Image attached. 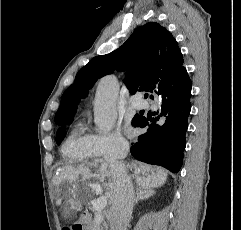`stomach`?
<instances>
[{"label": "stomach", "instance_id": "0dacf381", "mask_svg": "<svg viewBox=\"0 0 241 230\" xmlns=\"http://www.w3.org/2000/svg\"><path fill=\"white\" fill-rule=\"evenodd\" d=\"M76 226H78L80 230H90L89 222L84 218H81L76 223Z\"/></svg>", "mask_w": 241, "mask_h": 230}]
</instances>
